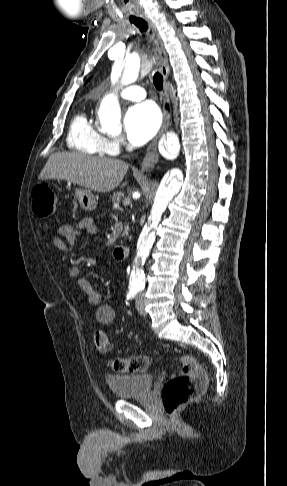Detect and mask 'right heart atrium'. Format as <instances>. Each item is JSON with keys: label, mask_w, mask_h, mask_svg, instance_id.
<instances>
[{"label": "right heart atrium", "mask_w": 287, "mask_h": 486, "mask_svg": "<svg viewBox=\"0 0 287 486\" xmlns=\"http://www.w3.org/2000/svg\"><path fill=\"white\" fill-rule=\"evenodd\" d=\"M108 148L113 152H117L120 148V141L119 140H108Z\"/></svg>", "instance_id": "1"}]
</instances>
